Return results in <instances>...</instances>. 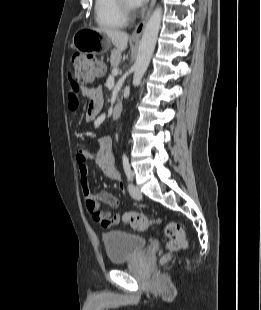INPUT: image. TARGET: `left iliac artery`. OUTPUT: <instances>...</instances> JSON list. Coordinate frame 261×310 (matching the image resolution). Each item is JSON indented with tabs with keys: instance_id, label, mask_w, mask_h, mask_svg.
Segmentation results:
<instances>
[{
	"instance_id": "left-iliac-artery-1",
	"label": "left iliac artery",
	"mask_w": 261,
	"mask_h": 310,
	"mask_svg": "<svg viewBox=\"0 0 261 310\" xmlns=\"http://www.w3.org/2000/svg\"><path fill=\"white\" fill-rule=\"evenodd\" d=\"M122 161H123V168H124L126 176H127L128 180L132 181L133 174H132L130 164H129V160H128L127 156L124 155L122 158Z\"/></svg>"
}]
</instances>
